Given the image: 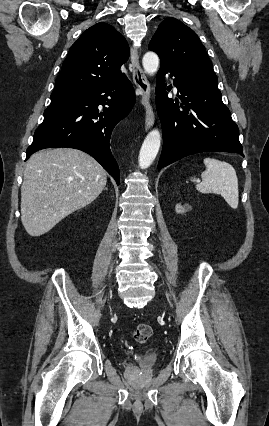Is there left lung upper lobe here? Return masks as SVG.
Masks as SVG:
<instances>
[{
	"label": "left lung upper lobe",
	"mask_w": 269,
	"mask_h": 426,
	"mask_svg": "<svg viewBox=\"0 0 269 426\" xmlns=\"http://www.w3.org/2000/svg\"><path fill=\"white\" fill-rule=\"evenodd\" d=\"M148 48L159 55L161 65L174 66L195 75L218 80L205 47L196 33L175 18H167L160 23Z\"/></svg>",
	"instance_id": "1"
}]
</instances>
